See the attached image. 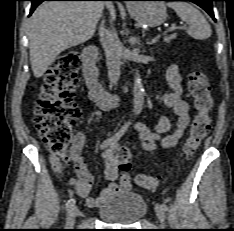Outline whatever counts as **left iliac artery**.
Segmentation results:
<instances>
[{
	"label": "left iliac artery",
	"mask_w": 234,
	"mask_h": 231,
	"mask_svg": "<svg viewBox=\"0 0 234 231\" xmlns=\"http://www.w3.org/2000/svg\"><path fill=\"white\" fill-rule=\"evenodd\" d=\"M161 208L164 210V211H167L168 210V206L166 204H161Z\"/></svg>",
	"instance_id": "obj_1"
}]
</instances>
